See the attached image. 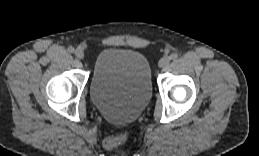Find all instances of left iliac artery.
<instances>
[{
  "label": "left iliac artery",
  "instance_id": "1",
  "mask_svg": "<svg viewBox=\"0 0 259 156\" xmlns=\"http://www.w3.org/2000/svg\"><path fill=\"white\" fill-rule=\"evenodd\" d=\"M169 58H170L171 60H176V59L178 58V54H177V53H172V54L169 56Z\"/></svg>",
  "mask_w": 259,
  "mask_h": 156
}]
</instances>
